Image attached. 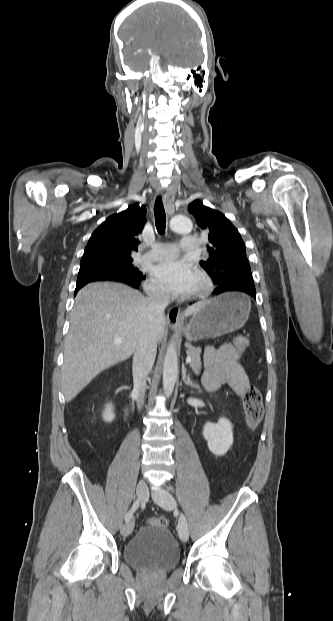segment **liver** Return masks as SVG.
Here are the masks:
<instances>
[{
	"instance_id": "obj_1",
	"label": "liver",
	"mask_w": 333,
	"mask_h": 621,
	"mask_svg": "<svg viewBox=\"0 0 333 621\" xmlns=\"http://www.w3.org/2000/svg\"><path fill=\"white\" fill-rule=\"evenodd\" d=\"M204 303L188 307L184 315L196 313ZM148 314L147 299L123 284L91 283L77 293L64 341L61 379L66 402L101 371L128 359L145 330H151L157 342L162 341L165 316L157 321Z\"/></svg>"
}]
</instances>
